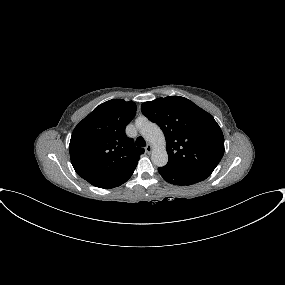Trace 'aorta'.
<instances>
[{
	"mask_svg": "<svg viewBox=\"0 0 285 285\" xmlns=\"http://www.w3.org/2000/svg\"><path fill=\"white\" fill-rule=\"evenodd\" d=\"M136 126L140 130L141 135L154 147L151 154L153 164L158 167L165 166L168 162V154L163 131L156 123L150 122L145 117L138 118Z\"/></svg>",
	"mask_w": 285,
	"mask_h": 285,
	"instance_id": "1",
	"label": "aorta"
}]
</instances>
